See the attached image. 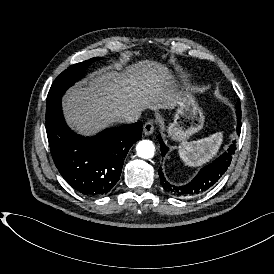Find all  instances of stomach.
Returning a JSON list of instances; mask_svg holds the SVG:
<instances>
[{"mask_svg":"<svg viewBox=\"0 0 274 274\" xmlns=\"http://www.w3.org/2000/svg\"><path fill=\"white\" fill-rule=\"evenodd\" d=\"M205 116L195 96L185 91L177 103L173 122L166 127L168 136L175 141H185L204 126Z\"/></svg>","mask_w":274,"mask_h":274,"instance_id":"stomach-1","label":"stomach"}]
</instances>
